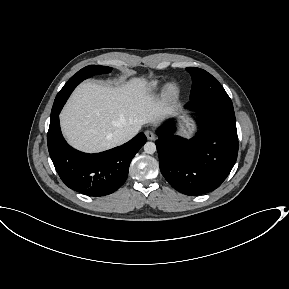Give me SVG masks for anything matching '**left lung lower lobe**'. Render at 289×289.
Here are the masks:
<instances>
[{"instance_id":"obj_1","label":"left lung lower lobe","mask_w":289,"mask_h":289,"mask_svg":"<svg viewBox=\"0 0 289 289\" xmlns=\"http://www.w3.org/2000/svg\"><path fill=\"white\" fill-rule=\"evenodd\" d=\"M185 107L198 113L196 135L190 140L174 135L170 120L157 130L156 146L165 179L177 191L195 196L215 190L229 175L238 137L232 102L195 98Z\"/></svg>"}]
</instances>
